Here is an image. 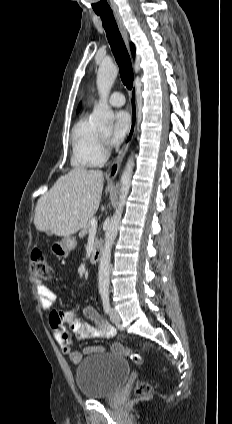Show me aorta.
I'll list each match as a JSON object with an SVG mask.
<instances>
[{"label": "aorta", "instance_id": "aorta-1", "mask_svg": "<svg viewBox=\"0 0 232 424\" xmlns=\"http://www.w3.org/2000/svg\"><path fill=\"white\" fill-rule=\"evenodd\" d=\"M117 74L118 67L114 64H102L98 69L97 89L99 92L100 99L98 104L94 107L93 113L91 115L93 122L97 126L111 127L113 125L114 113L108 105V97L111 87L117 77ZM133 167L134 156L132 154L129 157L125 169L121 175L119 201L115 213L111 217L105 233V244L101 252L98 267L99 292L101 294H106L109 290L111 249L118 233L123 209L131 187Z\"/></svg>", "mask_w": 232, "mask_h": 424}]
</instances>
